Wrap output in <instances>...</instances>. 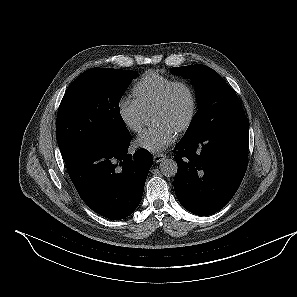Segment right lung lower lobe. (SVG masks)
<instances>
[{
  "label": "right lung lower lobe",
  "instance_id": "98d812e1",
  "mask_svg": "<svg viewBox=\"0 0 297 297\" xmlns=\"http://www.w3.org/2000/svg\"><path fill=\"white\" fill-rule=\"evenodd\" d=\"M124 142L94 145L66 163L69 176L83 201L96 213L112 220L124 219L139 205L152 155L127 150Z\"/></svg>",
  "mask_w": 297,
  "mask_h": 297
}]
</instances>
